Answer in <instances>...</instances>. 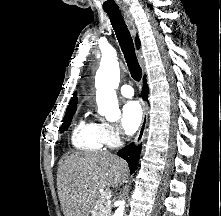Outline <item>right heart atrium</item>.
<instances>
[{
    "label": "right heart atrium",
    "instance_id": "d8ad5b80",
    "mask_svg": "<svg viewBox=\"0 0 221 216\" xmlns=\"http://www.w3.org/2000/svg\"><path fill=\"white\" fill-rule=\"evenodd\" d=\"M99 131L102 141L107 146H115L120 140V131L114 124L108 122L99 123Z\"/></svg>",
    "mask_w": 221,
    "mask_h": 216
}]
</instances>
